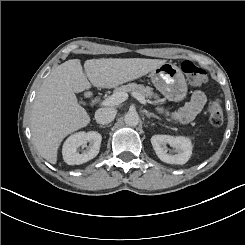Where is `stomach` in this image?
I'll return each mask as SVG.
<instances>
[{"label":"stomach","instance_id":"stomach-1","mask_svg":"<svg viewBox=\"0 0 245 245\" xmlns=\"http://www.w3.org/2000/svg\"><path fill=\"white\" fill-rule=\"evenodd\" d=\"M150 80L157 90L172 101L186 95V82L181 69L171 63H163L150 71Z\"/></svg>","mask_w":245,"mask_h":245}]
</instances>
